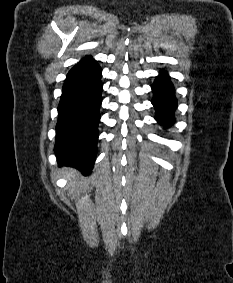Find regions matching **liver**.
I'll return each instance as SVG.
<instances>
[{
	"label": "liver",
	"mask_w": 233,
	"mask_h": 283,
	"mask_svg": "<svg viewBox=\"0 0 233 283\" xmlns=\"http://www.w3.org/2000/svg\"><path fill=\"white\" fill-rule=\"evenodd\" d=\"M65 174L69 179V187L75 189L77 187V183H76L78 177L77 171L74 169L67 168L65 169Z\"/></svg>",
	"instance_id": "1"
}]
</instances>
